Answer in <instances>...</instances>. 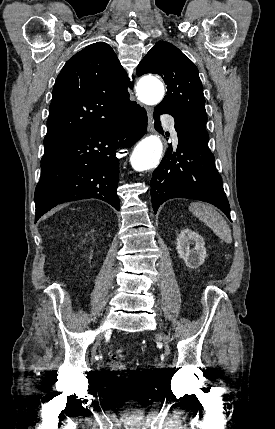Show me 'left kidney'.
Masks as SVG:
<instances>
[{"label":"left kidney","instance_id":"obj_1","mask_svg":"<svg viewBox=\"0 0 275 429\" xmlns=\"http://www.w3.org/2000/svg\"><path fill=\"white\" fill-rule=\"evenodd\" d=\"M191 245H194V248H190ZM204 245L205 242L202 236L186 228L179 234L176 248L179 257L184 260L185 265L195 269L203 264L207 256Z\"/></svg>","mask_w":275,"mask_h":429}]
</instances>
